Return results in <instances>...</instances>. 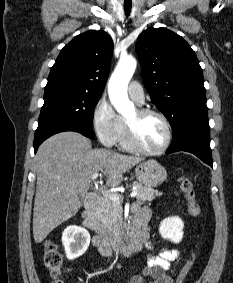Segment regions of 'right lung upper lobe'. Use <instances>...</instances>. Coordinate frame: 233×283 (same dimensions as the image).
<instances>
[{
  "instance_id": "cb5924a9",
  "label": "right lung upper lobe",
  "mask_w": 233,
  "mask_h": 283,
  "mask_svg": "<svg viewBox=\"0 0 233 283\" xmlns=\"http://www.w3.org/2000/svg\"><path fill=\"white\" fill-rule=\"evenodd\" d=\"M113 52L112 38L102 30L75 36L59 53L47 85L102 94Z\"/></svg>"
}]
</instances>
